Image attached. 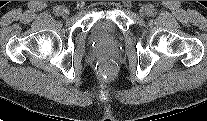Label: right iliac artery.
I'll return each instance as SVG.
<instances>
[{
  "label": "right iliac artery",
  "instance_id": "82829eb1",
  "mask_svg": "<svg viewBox=\"0 0 207 121\" xmlns=\"http://www.w3.org/2000/svg\"><path fill=\"white\" fill-rule=\"evenodd\" d=\"M60 11H61V7H60V6H56V7L54 8V14H55V15H60Z\"/></svg>",
  "mask_w": 207,
  "mask_h": 121
}]
</instances>
